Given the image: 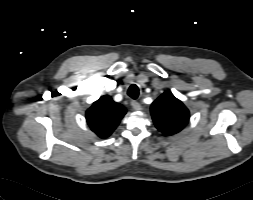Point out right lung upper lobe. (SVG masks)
Here are the masks:
<instances>
[{"label":"right lung upper lobe","mask_w":253,"mask_h":200,"mask_svg":"<svg viewBox=\"0 0 253 200\" xmlns=\"http://www.w3.org/2000/svg\"><path fill=\"white\" fill-rule=\"evenodd\" d=\"M126 109L108 95L101 96L86 111V120L91 130L100 138H107L118 126Z\"/></svg>","instance_id":"obj_1"}]
</instances>
